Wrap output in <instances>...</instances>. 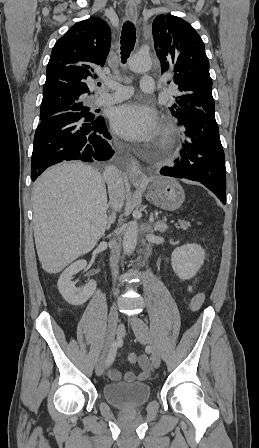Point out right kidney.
I'll use <instances>...</instances> for the list:
<instances>
[{"label": "right kidney", "instance_id": "right-kidney-1", "mask_svg": "<svg viewBox=\"0 0 259 448\" xmlns=\"http://www.w3.org/2000/svg\"><path fill=\"white\" fill-rule=\"evenodd\" d=\"M86 266V260H78V262H74L69 268H66L58 280L57 286L60 294L72 306H81V304H84L91 298L96 290V282L94 280L88 282L84 288H75L74 282H71L72 276L78 274L80 270H85Z\"/></svg>", "mask_w": 259, "mask_h": 448}]
</instances>
